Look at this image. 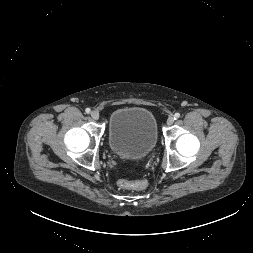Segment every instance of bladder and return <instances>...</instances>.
<instances>
[{"mask_svg":"<svg viewBox=\"0 0 253 253\" xmlns=\"http://www.w3.org/2000/svg\"><path fill=\"white\" fill-rule=\"evenodd\" d=\"M157 141V122L147 108L124 106L112 112L108 143L117 157L128 161L144 160L154 151Z\"/></svg>","mask_w":253,"mask_h":253,"instance_id":"bladder-1","label":"bladder"}]
</instances>
